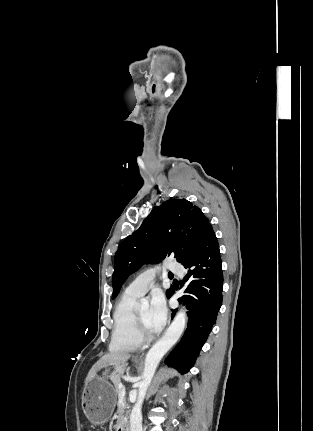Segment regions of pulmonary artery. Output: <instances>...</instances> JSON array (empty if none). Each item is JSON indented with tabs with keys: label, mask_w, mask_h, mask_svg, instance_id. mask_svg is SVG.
<instances>
[{
	"label": "pulmonary artery",
	"mask_w": 313,
	"mask_h": 431,
	"mask_svg": "<svg viewBox=\"0 0 313 431\" xmlns=\"http://www.w3.org/2000/svg\"><path fill=\"white\" fill-rule=\"evenodd\" d=\"M166 268L179 276L184 273V268L176 261H169ZM158 268H149L139 274L125 289V293L140 297L144 295L154 284Z\"/></svg>",
	"instance_id": "e3ab8cb5"
}]
</instances>
